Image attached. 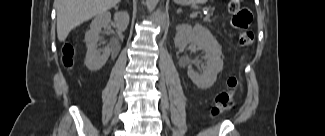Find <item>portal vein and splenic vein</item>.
I'll use <instances>...</instances> for the list:
<instances>
[{
    "label": "portal vein and splenic vein",
    "instance_id": "18ae733b",
    "mask_svg": "<svg viewBox=\"0 0 325 136\" xmlns=\"http://www.w3.org/2000/svg\"><path fill=\"white\" fill-rule=\"evenodd\" d=\"M197 15H198L197 12H193V13L190 15V17H196Z\"/></svg>",
    "mask_w": 325,
    "mask_h": 136
}]
</instances>
